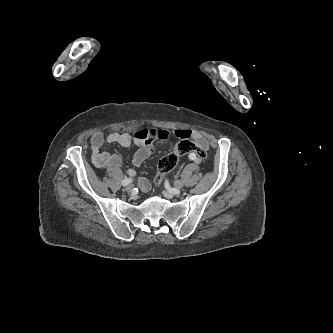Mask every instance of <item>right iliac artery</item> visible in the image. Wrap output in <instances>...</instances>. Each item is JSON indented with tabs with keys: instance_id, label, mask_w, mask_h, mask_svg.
<instances>
[{
	"instance_id": "right-iliac-artery-1",
	"label": "right iliac artery",
	"mask_w": 333,
	"mask_h": 333,
	"mask_svg": "<svg viewBox=\"0 0 333 333\" xmlns=\"http://www.w3.org/2000/svg\"><path fill=\"white\" fill-rule=\"evenodd\" d=\"M131 182H132L131 179H129V178H125V179L122 181V185H123V186H126V185L130 184Z\"/></svg>"
}]
</instances>
